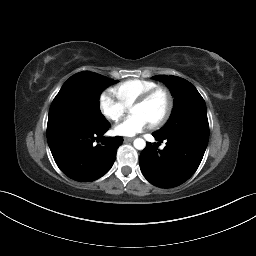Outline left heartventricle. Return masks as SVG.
Masks as SVG:
<instances>
[{
  "label": "left heart ventricle",
  "instance_id": "b2bd125f",
  "mask_svg": "<svg viewBox=\"0 0 256 256\" xmlns=\"http://www.w3.org/2000/svg\"><path fill=\"white\" fill-rule=\"evenodd\" d=\"M167 99L164 94L158 93L145 105H135L131 109L132 115H142L150 123L159 119L165 112Z\"/></svg>",
  "mask_w": 256,
  "mask_h": 256
}]
</instances>
